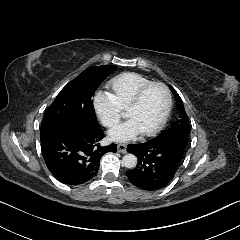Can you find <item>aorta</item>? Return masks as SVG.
Instances as JSON below:
<instances>
[{
	"mask_svg": "<svg viewBox=\"0 0 240 240\" xmlns=\"http://www.w3.org/2000/svg\"><path fill=\"white\" fill-rule=\"evenodd\" d=\"M122 164L126 168H134L137 165V157L133 154H126L122 158Z\"/></svg>",
	"mask_w": 240,
	"mask_h": 240,
	"instance_id": "762f6f07",
	"label": "aorta"
}]
</instances>
